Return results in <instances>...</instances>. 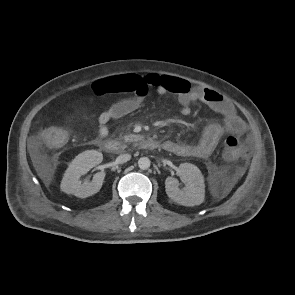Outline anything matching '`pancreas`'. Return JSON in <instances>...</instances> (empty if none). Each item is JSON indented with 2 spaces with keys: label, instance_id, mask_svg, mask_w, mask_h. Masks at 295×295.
I'll return each instance as SVG.
<instances>
[{
  "label": "pancreas",
  "instance_id": "cf45deb5",
  "mask_svg": "<svg viewBox=\"0 0 295 295\" xmlns=\"http://www.w3.org/2000/svg\"><path fill=\"white\" fill-rule=\"evenodd\" d=\"M136 139V136L135 135H124V136H120V140H122L124 143H127V142H131L133 140Z\"/></svg>",
  "mask_w": 295,
  "mask_h": 295
}]
</instances>
